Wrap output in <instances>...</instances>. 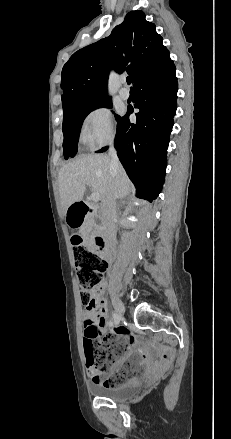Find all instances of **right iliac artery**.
<instances>
[{
  "label": "right iliac artery",
  "mask_w": 231,
  "mask_h": 439,
  "mask_svg": "<svg viewBox=\"0 0 231 439\" xmlns=\"http://www.w3.org/2000/svg\"><path fill=\"white\" fill-rule=\"evenodd\" d=\"M113 318H114V323L119 324L120 321L115 318V313L113 314Z\"/></svg>",
  "instance_id": "right-iliac-artery-1"
}]
</instances>
